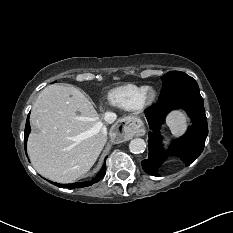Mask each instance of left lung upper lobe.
Segmentation results:
<instances>
[{
  "instance_id": "5c2ea615",
  "label": "left lung upper lobe",
  "mask_w": 233,
  "mask_h": 233,
  "mask_svg": "<svg viewBox=\"0 0 233 233\" xmlns=\"http://www.w3.org/2000/svg\"><path fill=\"white\" fill-rule=\"evenodd\" d=\"M161 79L163 81V91L161 99L167 97L171 93L184 88H198L197 82L192 77L180 71H170Z\"/></svg>"
}]
</instances>
